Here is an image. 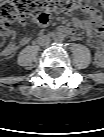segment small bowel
<instances>
[{
  "label": "small bowel",
  "instance_id": "1",
  "mask_svg": "<svg viewBox=\"0 0 104 137\" xmlns=\"http://www.w3.org/2000/svg\"><path fill=\"white\" fill-rule=\"evenodd\" d=\"M101 21L102 19H101L100 13L93 8H85L83 10V17L75 18L72 21V24L75 28L83 29L86 31L88 42L94 45V59L97 65H103L104 63V54L95 35V30L101 26ZM21 24L25 26L26 22L22 21ZM63 32L70 35H73L75 33L72 28H66L63 30ZM3 35L11 36L12 38L14 37L13 32H8ZM29 40L30 38L28 36H24L20 41V45L27 44ZM17 49H18V45H16L14 42H9L2 49V55L4 56L12 55L13 53L17 51Z\"/></svg>",
  "mask_w": 104,
  "mask_h": 137
}]
</instances>
